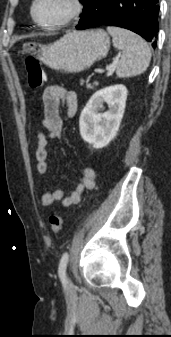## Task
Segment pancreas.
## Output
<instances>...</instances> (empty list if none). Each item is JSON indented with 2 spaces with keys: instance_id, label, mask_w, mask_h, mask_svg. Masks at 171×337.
Here are the masks:
<instances>
[{
  "instance_id": "cf45deb5",
  "label": "pancreas",
  "mask_w": 171,
  "mask_h": 337,
  "mask_svg": "<svg viewBox=\"0 0 171 337\" xmlns=\"http://www.w3.org/2000/svg\"><path fill=\"white\" fill-rule=\"evenodd\" d=\"M83 84H84V81L81 80V85H83ZM95 85H98V83H97V82H94L93 85H92V84H87L86 86H87V88H89V89H93Z\"/></svg>"
}]
</instances>
